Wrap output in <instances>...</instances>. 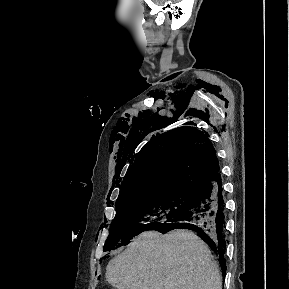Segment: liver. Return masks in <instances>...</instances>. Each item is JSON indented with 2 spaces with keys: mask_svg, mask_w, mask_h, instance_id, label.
Segmentation results:
<instances>
[{
  "mask_svg": "<svg viewBox=\"0 0 289 289\" xmlns=\"http://www.w3.org/2000/svg\"><path fill=\"white\" fill-rule=\"evenodd\" d=\"M105 276L116 289H222L218 264L188 230L143 232L110 260Z\"/></svg>",
  "mask_w": 289,
  "mask_h": 289,
  "instance_id": "1",
  "label": "liver"
}]
</instances>
